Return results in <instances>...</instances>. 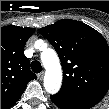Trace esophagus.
<instances>
[{
    "label": "esophagus",
    "mask_w": 109,
    "mask_h": 109,
    "mask_svg": "<svg viewBox=\"0 0 109 109\" xmlns=\"http://www.w3.org/2000/svg\"><path fill=\"white\" fill-rule=\"evenodd\" d=\"M38 79L42 80L44 77V72H41L37 75Z\"/></svg>",
    "instance_id": "1"
}]
</instances>
